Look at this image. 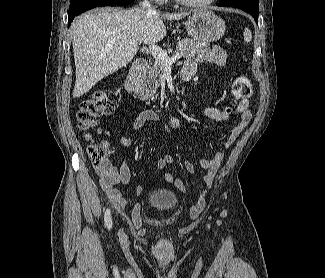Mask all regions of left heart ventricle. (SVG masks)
Listing matches in <instances>:
<instances>
[{
    "label": "left heart ventricle",
    "mask_w": 325,
    "mask_h": 278,
    "mask_svg": "<svg viewBox=\"0 0 325 278\" xmlns=\"http://www.w3.org/2000/svg\"><path fill=\"white\" fill-rule=\"evenodd\" d=\"M193 1H201V0H193Z\"/></svg>",
    "instance_id": "1"
}]
</instances>
